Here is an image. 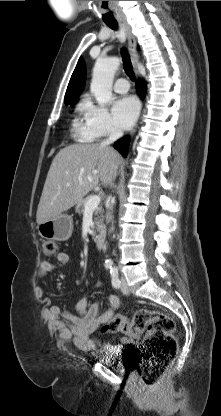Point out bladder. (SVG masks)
<instances>
[{
    "label": "bladder",
    "instance_id": "31cf9c89",
    "mask_svg": "<svg viewBox=\"0 0 221 416\" xmlns=\"http://www.w3.org/2000/svg\"><path fill=\"white\" fill-rule=\"evenodd\" d=\"M114 356L115 355L111 352H106V351L102 352V362H103V364H105L107 366H113L118 370L123 369L124 365H116L114 363V359H113Z\"/></svg>",
    "mask_w": 221,
    "mask_h": 416
}]
</instances>
